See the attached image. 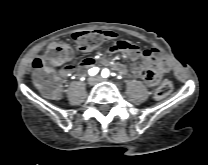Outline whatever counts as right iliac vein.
I'll list each match as a JSON object with an SVG mask.
<instances>
[{"label":"right iliac vein","instance_id":"1","mask_svg":"<svg viewBox=\"0 0 208 165\" xmlns=\"http://www.w3.org/2000/svg\"><path fill=\"white\" fill-rule=\"evenodd\" d=\"M87 82L89 85L93 86L96 84V79L93 77H90Z\"/></svg>","mask_w":208,"mask_h":165}]
</instances>
